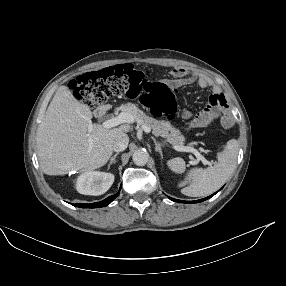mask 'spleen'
I'll list each match as a JSON object with an SVG mask.
<instances>
[{"label":"spleen","mask_w":286,"mask_h":286,"mask_svg":"<svg viewBox=\"0 0 286 286\" xmlns=\"http://www.w3.org/2000/svg\"><path fill=\"white\" fill-rule=\"evenodd\" d=\"M238 154V143L235 139L227 142L224 151L218 154V162L208 168H192L186 177V180L179 183L182 188V194L189 197H200L208 195L219 189L223 183L233 173ZM168 167L175 173L185 171V161L182 158H174L167 162Z\"/></svg>","instance_id":"3e777b00"}]
</instances>
